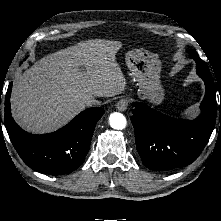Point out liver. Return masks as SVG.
<instances>
[{
	"label": "liver",
	"instance_id": "liver-1",
	"mask_svg": "<svg viewBox=\"0 0 221 221\" xmlns=\"http://www.w3.org/2000/svg\"><path fill=\"white\" fill-rule=\"evenodd\" d=\"M121 47L118 41H82L16 75L10 102L17 123L32 133L50 132L84 110L87 97L121 94L126 87L116 62Z\"/></svg>",
	"mask_w": 221,
	"mask_h": 221
}]
</instances>
